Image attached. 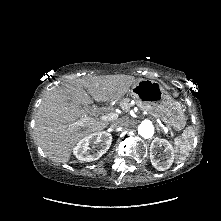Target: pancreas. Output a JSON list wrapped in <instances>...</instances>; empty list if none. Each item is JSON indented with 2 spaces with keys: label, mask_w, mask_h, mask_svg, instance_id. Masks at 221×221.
<instances>
[{
  "label": "pancreas",
  "mask_w": 221,
  "mask_h": 221,
  "mask_svg": "<svg viewBox=\"0 0 221 221\" xmlns=\"http://www.w3.org/2000/svg\"><path fill=\"white\" fill-rule=\"evenodd\" d=\"M121 107L123 110H126L128 111L131 107V103H130V100L129 99H124L122 102H121Z\"/></svg>",
  "instance_id": "obj_1"
}]
</instances>
